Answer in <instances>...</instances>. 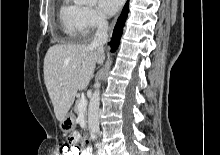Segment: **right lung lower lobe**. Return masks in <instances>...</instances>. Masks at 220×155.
<instances>
[{
  "label": "right lung lower lobe",
  "instance_id": "right-lung-lower-lobe-1",
  "mask_svg": "<svg viewBox=\"0 0 220 155\" xmlns=\"http://www.w3.org/2000/svg\"><path fill=\"white\" fill-rule=\"evenodd\" d=\"M128 12H129V0L126 2L125 6L122 10V13H121V15L117 21V24L115 26L112 39L109 42L111 52H114L118 48Z\"/></svg>",
  "mask_w": 220,
  "mask_h": 155
}]
</instances>
